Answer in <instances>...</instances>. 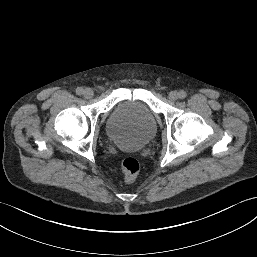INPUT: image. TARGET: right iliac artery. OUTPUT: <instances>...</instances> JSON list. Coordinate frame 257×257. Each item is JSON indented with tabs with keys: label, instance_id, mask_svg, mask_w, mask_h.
Wrapping results in <instances>:
<instances>
[{
	"label": "right iliac artery",
	"instance_id": "obj_1",
	"mask_svg": "<svg viewBox=\"0 0 257 257\" xmlns=\"http://www.w3.org/2000/svg\"><path fill=\"white\" fill-rule=\"evenodd\" d=\"M83 92H84V90H83L81 87H78V88L76 89V94H77V95H82Z\"/></svg>",
	"mask_w": 257,
	"mask_h": 257
}]
</instances>
